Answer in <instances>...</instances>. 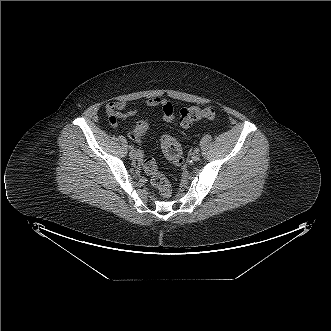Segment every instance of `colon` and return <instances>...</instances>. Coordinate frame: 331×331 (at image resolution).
<instances>
[{
	"mask_svg": "<svg viewBox=\"0 0 331 331\" xmlns=\"http://www.w3.org/2000/svg\"><path fill=\"white\" fill-rule=\"evenodd\" d=\"M216 111L211 107L200 108L196 106L185 107L180 110L179 122L183 127H188L201 119H215ZM147 129L144 121H139L135 126V133L142 136ZM161 148L168 161L175 167H182L185 162L180 143L171 135L164 134L160 140ZM143 169L150 176L152 185L158 189L159 194L167 199L172 194L171 186L164 174L159 172L155 160L151 157L143 159Z\"/></svg>",
	"mask_w": 331,
	"mask_h": 331,
	"instance_id": "5ec220e1",
	"label": "colon"
}]
</instances>
